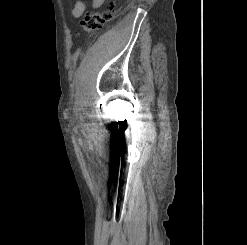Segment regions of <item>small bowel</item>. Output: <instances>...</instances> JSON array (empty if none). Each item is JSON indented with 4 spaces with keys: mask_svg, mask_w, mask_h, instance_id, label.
Instances as JSON below:
<instances>
[{
    "mask_svg": "<svg viewBox=\"0 0 247 245\" xmlns=\"http://www.w3.org/2000/svg\"><path fill=\"white\" fill-rule=\"evenodd\" d=\"M105 0H92V7L99 8L102 6ZM86 6L82 0H75L74 5L71 9L72 16L79 18L85 12Z\"/></svg>",
    "mask_w": 247,
    "mask_h": 245,
    "instance_id": "1",
    "label": "small bowel"
}]
</instances>
